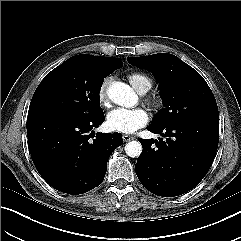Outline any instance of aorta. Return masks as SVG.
Returning <instances> with one entry per match:
<instances>
[{"label":"aorta","mask_w":241,"mask_h":241,"mask_svg":"<svg viewBox=\"0 0 241 241\" xmlns=\"http://www.w3.org/2000/svg\"><path fill=\"white\" fill-rule=\"evenodd\" d=\"M107 95L112 102L126 108L132 107L136 102L133 89L122 82H113L107 90ZM125 152L129 157H138L142 152V145L138 141H130L125 145Z\"/></svg>","instance_id":"762f6f07"}]
</instances>
